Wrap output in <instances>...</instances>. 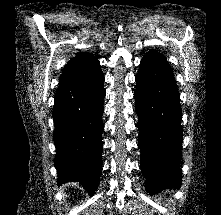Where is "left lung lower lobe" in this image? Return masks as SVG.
<instances>
[{
	"mask_svg": "<svg viewBox=\"0 0 221 215\" xmlns=\"http://www.w3.org/2000/svg\"><path fill=\"white\" fill-rule=\"evenodd\" d=\"M135 80L140 162L146 189L153 194L177 188L182 181L183 131L174 74L167 61L143 57Z\"/></svg>",
	"mask_w": 221,
	"mask_h": 215,
	"instance_id": "obj_1",
	"label": "left lung lower lobe"
}]
</instances>
